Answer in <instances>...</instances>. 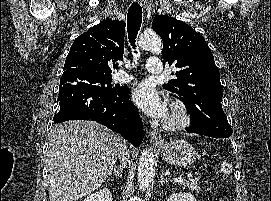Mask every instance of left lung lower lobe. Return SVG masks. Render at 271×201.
<instances>
[{
  "mask_svg": "<svg viewBox=\"0 0 271 201\" xmlns=\"http://www.w3.org/2000/svg\"><path fill=\"white\" fill-rule=\"evenodd\" d=\"M186 131L190 133L202 134L201 130L195 127H187Z\"/></svg>",
  "mask_w": 271,
  "mask_h": 201,
  "instance_id": "0a47b994",
  "label": "left lung lower lobe"
}]
</instances>
